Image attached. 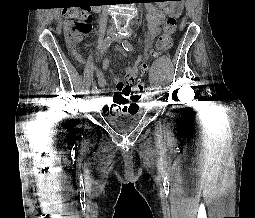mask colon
<instances>
[{
	"label": "colon",
	"mask_w": 255,
	"mask_h": 218,
	"mask_svg": "<svg viewBox=\"0 0 255 218\" xmlns=\"http://www.w3.org/2000/svg\"><path fill=\"white\" fill-rule=\"evenodd\" d=\"M176 5L175 12L167 19L162 34L160 35L157 47L159 50H166L172 44V38L176 30L177 17L181 14L180 4L182 0H167ZM62 16L65 20L64 29L65 37L70 49L74 50L77 44L91 30L92 16L82 7H69L63 10ZM125 91L131 97H138L142 94L143 85L140 81L134 82L132 85H126ZM135 107L124 105L120 107L119 112L135 111Z\"/></svg>",
	"instance_id": "1"
}]
</instances>
